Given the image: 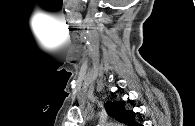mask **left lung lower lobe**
Here are the masks:
<instances>
[{
  "instance_id": "1",
  "label": "left lung lower lobe",
  "mask_w": 195,
  "mask_h": 126,
  "mask_svg": "<svg viewBox=\"0 0 195 126\" xmlns=\"http://www.w3.org/2000/svg\"><path fill=\"white\" fill-rule=\"evenodd\" d=\"M136 126H142V125L138 124V125H136Z\"/></svg>"
}]
</instances>
